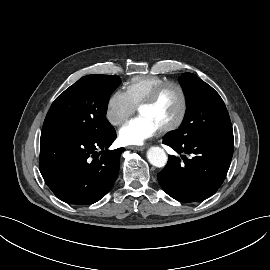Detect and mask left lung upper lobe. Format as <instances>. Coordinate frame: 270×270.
<instances>
[{
    "label": "left lung upper lobe",
    "mask_w": 270,
    "mask_h": 270,
    "mask_svg": "<svg viewBox=\"0 0 270 270\" xmlns=\"http://www.w3.org/2000/svg\"><path fill=\"white\" fill-rule=\"evenodd\" d=\"M179 82L187 97V110L182 125L171 133L177 140H185L194 133L233 135L226 106L220 95L192 73H185Z\"/></svg>",
    "instance_id": "1"
}]
</instances>
